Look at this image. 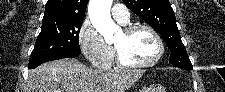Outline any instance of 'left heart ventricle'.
Here are the masks:
<instances>
[{
    "label": "left heart ventricle",
    "mask_w": 225,
    "mask_h": 92,
    "mask_svg": "<svg viewBox=\"0 0 225 92\" xmlns=\"http://www.w3.org/2000/svg\"><path fill=\"white\" fill-rule=\"evenodd\" d=\"M124 59L132 63H146L157 54V44L147 30H138L132 34L122 32L114 42Z\"/></svg>",
    "instance_id": "b2bd125f"
}]
</instances>
